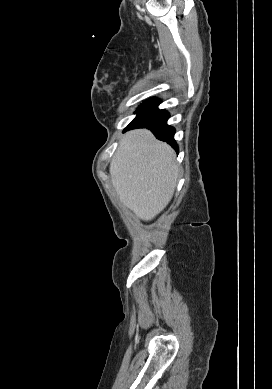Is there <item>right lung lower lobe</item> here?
Wrapping results in <instances>:
<instances>
[{
    "instance_id": "obj_1",
    "label": "right lung lower lobe",
    "mask_w": 272,
    "mask_h": 389,
    "mask_svg": "<svg viewBox=\"0 0 272 389\" xmlns=\"http://www.w3.org/2000/svg\"><path fill=\"white\" fill-rule=\"evenodd\" d=\"M160 104L158 99H148L141 104L136 111V118L124 130L147 128L150 129L157 139L166 141L177 152L178 146L173 136L175 129L167 125L169 114L165 110H159L157 106Z\"/></svg>"
}]
</instances>
